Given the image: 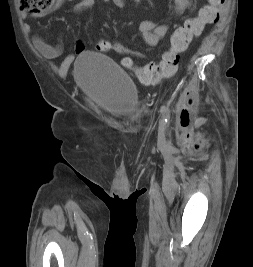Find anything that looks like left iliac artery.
<instances>
[{"label": "left iliac artery", "instance_id": "left-iliac-artery-1", "mask_svg": "<svg viewBox=\"0 0 253 267\" xmlns=\"http://www.w3.org/2000/svg\"><path fill=\"white\" fill-rule=\"evenodd\" d=\"M161 113H162V116L164 118L166 125L168 126L170 123V110H169V108L166 106H162L161 107Z\"/></svg>", "mask_w": 253, "mask_h": 267}]
</instances>
